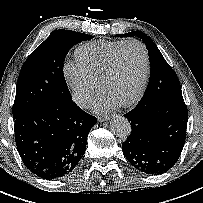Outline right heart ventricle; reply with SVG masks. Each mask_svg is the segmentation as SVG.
I'll return each mask as SVG.
<instances>
[{
  "label": "right heart ventricle",
  "mask_w": 203,
  "mask_h": 203,
  "mask_svg": "<svg viewBox=\"0 0 203 203\" xmlns=\"http://www.w3.org/2000/svg\"><path fill=\"white\" fill-rule=\"evenodd\" d=\"M123 42L124 40L96 41L83 44L75 51L77 63L98 82L105 65Z\"/></svg>",
  "instance_id": "obj_1"
}]
</instances>
